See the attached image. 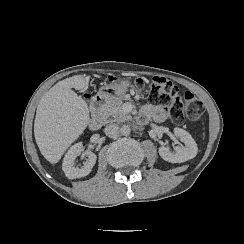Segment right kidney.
Listing matches in <instances>:
<instances>
[{"label": "right kidney", "mask_w": 244, "mask_h": 244, "mask_svg": "<svg viewBox=\"0 0 244 244\" xmlns=\"http://www.w3.org/2000/svg\"><path fill=\"white\" fill-rule=\"evenodd\" d=\"M79 156H86L87 161L79 168H76L75 161ZM96 159L97 157L94 152L89 150L83 152L82 143H77L76 145L72 146L70 151L67 153L63 163V171L65 172L66 177L70 180L85 177L90 174L93 166L95 165Z\"/></svg>", "instance_id": "ca27d5eb"}]
</instances>
